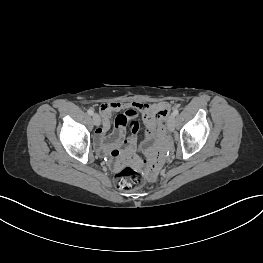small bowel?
I'll use <instances>...</instances> for the list:
<instances>
[{
	"label": "small bowel",
	"mask_w": 263,
	"mask_h": 263,
	"mask_svg": "<svg viewBox=\"0 0 263 263\" xmlns=\"http://www.w3.org/2000/svg\"><path fill=\"white\" fill-rule=\"evenodd\" d=\"M114 112L121 113L115 118L111 130V115ZM174 112V105L167 102L103 103L100 106L103 121L96 134V146L103 155L116 163H139L137 150L140 123L137 118L141 115L144 124L141 147L146 154L141 159V166L147 169L148 176L155 177L161 167L164 152V147L159 142L163 140L167 121ZM127 126L130 127L129 135L125 132Z\"/></svg>",
	"instance_id": "obj_1"
}]
</instances>
